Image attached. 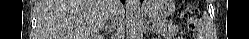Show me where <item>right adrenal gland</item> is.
Returning <instances> with one entry per match:
<instances>
[{"mask_svg": "<svg viewBox=\"0 0 249 39\" xmlns=\"http://www.w3.org/2000/svg\"><path fill=\"white\" fill-rule=\"evenodd\" d=\"M104 30L107 31V27ZM111 32H112V29H109L108 33H111Z\"/></svg>", "mask_w": 249, "mask_h": 39, "instance_id": "obj_1", "label": "right adrenal gland"}]
</instances>
